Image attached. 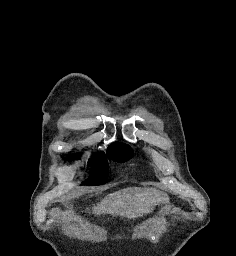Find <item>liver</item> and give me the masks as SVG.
Returning <instances> with one entry per match:
<instances>
[{"mask_svg": "<svg viewBox=\"0 0 236 256\" xmlns=\"http://www.w3.org/2000/svg\"><path fill=\"white\" fill-rule=\"evenodd\" d=\"M166 194L151 188H125L114 194L102 198L98 204H93L92 214H111V216H125L138 218L149 214L158 202H166ZM88 210V208H86Z\"/></svg>", "mask_w": 236, "mask_h": 256, "instance_id": "liver-1", "label": "liver"}]
</instances>
